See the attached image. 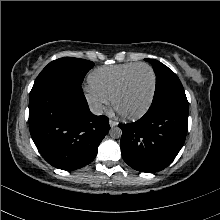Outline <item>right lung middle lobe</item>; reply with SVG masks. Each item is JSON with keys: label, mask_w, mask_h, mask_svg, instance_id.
<instances>
[{"label": "right lung middle lobe", "mask_w": 220, "mask_h": 220, "mask_svg": "<svg viewBox=\"0 0 220 220\" xmlns=\"http://www.w3.org/2000/svg\"><path fill=\"white\" fill-rule=\"evenodd\" d=\"M94 63L88 60L64 57L50 62L38 75L33 87L48 82H66L81 85Z\"/></svg>", "instance_id": "dd1d6c3e"}]
</instances>
